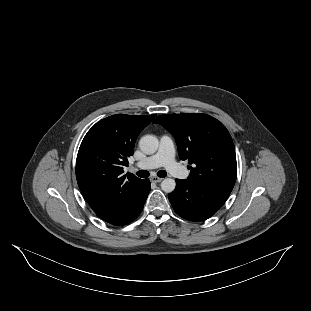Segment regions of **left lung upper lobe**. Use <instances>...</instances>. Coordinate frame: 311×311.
I'll use <instances>...</instances> for the list:
<instances>
[{"mask_svg": "<svg viewBox=\"0 0 311 311\" xmlns=\"http://www.w3.org/2000/svg\"><path fill=\"white\" fill-rule=\"evenodd\" d=\"M154 123L165 127L175 138L179 157L192 165L191 183L232 191L237 163L235 147L226 127L207 114L160 115Z\"/></svg>", "mask_w": 311, "mask_h": 311, "instance_id": "obj_1", "label": "left lung upper lobe"}]
</instances>
